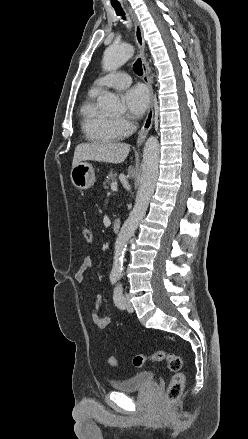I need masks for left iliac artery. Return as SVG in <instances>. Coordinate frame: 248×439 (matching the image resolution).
Segmentation results:
<instances>
[{
  "label": "left iliac artery",
  "instance_id": "1",
  "mask_svg": "<svg viewBox=\"0 0 248 439\" xmlns=\"http://www.w3.org/2000/svg\"><path fill=\"white\" fill-rule=\"evenodd\" d=\"M122 291H123L122 290V285L119 284L114 289V295H113L114 303L120 309H124L125 308L124 297H123Z\"/></svg>",
  "mask_w": 248,
  "mask_h": 439
}]
</instances>
